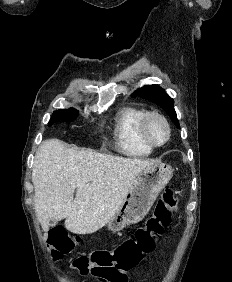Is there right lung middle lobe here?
<instances>
[{"label": "right lung middle lobe", "mask_w": 232, "mask_h": 282, "mask_svg": "<svg viewBox=\"0 0 232 282\" xmlns=\"http://www.w3.org/2000/svg\"><path fill=\"white\" fill-rule=\"evenodd\" d=\"M77 116H78V111L74 108H70L68 110L60 109L58 111H54L50 119V122L48 123V126H51L58 122H71L75 120Z\"/></svg>", "instance_id": "dd1d6c3e"}]
</instances>
